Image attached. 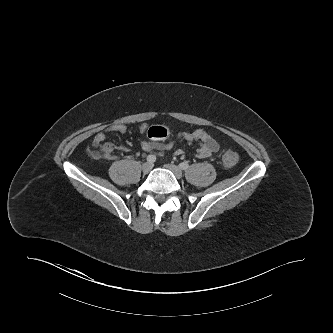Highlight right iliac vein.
I'll use <instances>...</instances> for the list:
<instances>
[{"mask_svg": "<svg viewBox=\"0 0 333 333\" xmlns=\"http://www.w3.org/2000/svg\"><path fill=\"white\" fill-rule=\"evenodd\" d=\"M153 168V164L150 163V162H145L143 165H142V171L144 173H149Z\"/></svg>", "mask_w": 333, "mask_h": 333, "instance_id": "63e3f726", "label": "right iliac vein"}]
</instances>
